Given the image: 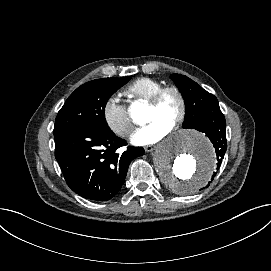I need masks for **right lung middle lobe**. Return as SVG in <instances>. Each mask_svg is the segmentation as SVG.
I'll list each match as a JSON object with an SVG mask.
<instances>
[{
    "label": "right lung middle lobe",
    "instance_id": "obj_1",
    "mask_svg": "<svg viewBox=\"0 0 271 271\" xmlns=\"http://www.w3.org/2000/svg\"><path fill=\"white\" fill-rule=\"evenodd\" d=\"M130 78L96 79L77 88L58 112L54 136L73 128L108 130L105 122L106 103Z\"/></svg>",
    "mask_w": 271,
    "mask_h": 271
}]
</instances>
